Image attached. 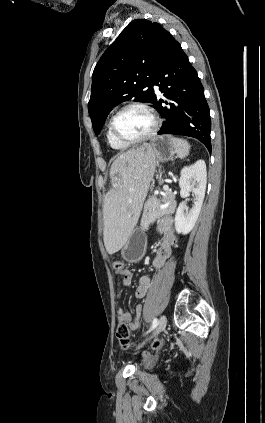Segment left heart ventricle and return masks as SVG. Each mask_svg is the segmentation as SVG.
I'll use <instances>...</instances> for the list:
<instances>
[{
  "label": "left heart ventricle",
  "mask_w": 265,
  "mask_h": 423,
  "mask_svg": "<svg viewBox=\"0 0 265 423\" xmlns=\"http://www.w3.org/2000/svg\"><path fill=\"white\" fill-rule=\"evenodd\" d=\"M152 127V119L141 109L124 111L116 121L118 133L128 139H136L147 134Z\"/></svg>",
  "instance_id": "obj_1"
}]
</instances>
